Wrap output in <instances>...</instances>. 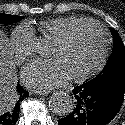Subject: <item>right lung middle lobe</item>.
I'll list each match as a JSON object with an SVG mask.
<instances>
[{
	"instance_id": "1",
	"label": "right lung middle lobe",
	"mask_w": 125,
	"mask_h": 125,
	"mask_svg": "<svg viewBox=\"0 0 125 125\" xmlns=\"http://www.w3.org/2000/svg\"><path fill=\"white\" fill-rule=\"evenodd\" d=\"M22 19V16L0 13V22L10 24Z\"/></svg>"
}]
</instances>
